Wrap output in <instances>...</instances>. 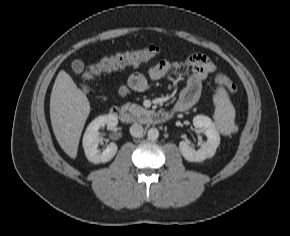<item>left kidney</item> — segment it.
<instances>
[{"mask_svg":"<svg viewBox=\"0 0 290 236\" xmlns=\"http://www.w3.org/2000/svg\"><path fill=\"white\" fill-rule=\"evenodd\" d=\"M193 125L199 128L207 136V141L200 149L195 150L190 147L186 141L179 143V149L182 156L190 162H201L214 156L217 147L220 144V135L212 120L204 115H197L193 118Z\"/></svg>","mask_w":290,"mask_h":236,"instance_id":"5707ae66","label":"left kidney"}]
</instances>
